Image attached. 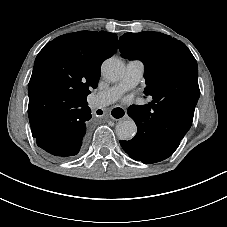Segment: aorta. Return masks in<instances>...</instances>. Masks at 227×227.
Here are the masks:
<instances>
[{
    "mask_svg": "<svg viewBox=\"0 0 227 227\" xmlns=\"http://www.w3.org/2000/svg\"><path fill=\"white\" fill-rule=\"evenodd\" d=\"M101 73L109 81H119L124 75V64L120 59L110 57L103 62ZM116 132L121 140L128 141L136 135L137 127L131 119L122 120L118 122Z\"/></svg>",
    "mask_w": 227,
    "mask_h": 227,
    "instance_id": "1",
    "label": "aorta"
}]
</instances>
